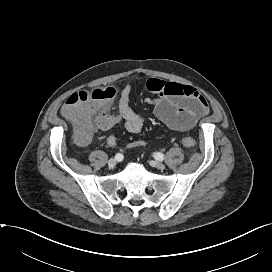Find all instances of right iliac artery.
<instances>
[{"instance_id":"82829eb1","label":"right iliac artery","mask_w":272,"mask_h":272,"mask_svg":"<svg viewBox=\"0 0 272 272\" xmlns=\"http://www.w3.org/2000/svg\"><path fill=\"white\" fill-rule=\"evenodd\" d=\"M115 160H117V161H122V160H123V155L120 154V153H117V154L115 155Z\"/></svg>"}]
</instances>
